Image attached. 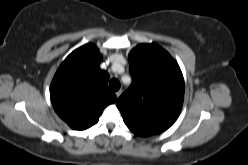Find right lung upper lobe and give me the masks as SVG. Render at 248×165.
I'll return each mask as SVG.
<instances>
[{
	"label": "right lung upper lobe",
	"mask_w": 248,
	"mask_h": 165,
	"mask_svg": "<svg viewBox=\"0 0 248 165\" xmlns=\"http://www.w3.org/2000/svg\"><path fill=\"white\" fill-rule=\"evenodd\" d=\"M100 62L98 48L86 44L62 62L53 78L50 98L54 110L75 130L96 124L103 109L117 99L108 89L109 75L100 69Z\"/></svg>",
	"instance_id": "right-lung-upper-lobe-1"
}]
</instances>
